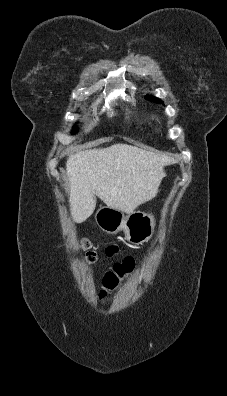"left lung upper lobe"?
I'll return each instance as SVG.
<instances>
[{"label": "left lung upper lobe", "instance_id": "5c2ea615", "mask_svg": "<svg viewBox=\"0 0 227 396\" xmlns=\"http://www.w3.org/2000/svg\"><path fill=\"white\" fill-rule=\"evenodd\" d=\"M146 99H149V100L157 102V103H162V101L159 98H156V97L151 96V95L146 96Z\"/></svg>", "mask_w": 227, "mask_h": 396}]
</instances>
